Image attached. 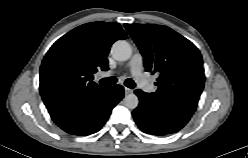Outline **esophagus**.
I'll list each match as a JSON object with an SVG mask.
<instances>
[{
	"label": "esophagus",
	"instance_id": "esophagus-1",
	"mask_svg": "<svg viewBox=\"0 0 248 158\" xmlns=\"http://www.w3.org/2000/svg\"><path fill=\"white\" fill-rule=\"evenodd\" d=\"M124 91H125V94L128 95V94H131L133 92L132 89H129L127 87L124 88Z\"/></svg>",
	"mask_w": 248,
	"mask_h": 158
}]
</instances>
